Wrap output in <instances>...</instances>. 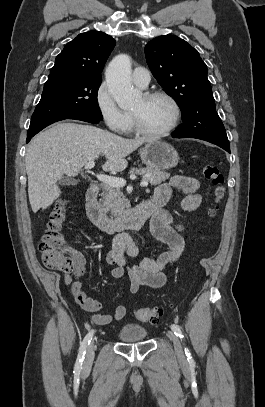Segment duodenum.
<instances>
[{
    "mask_svg": "<svg viewBox=\"0 0 265 407\" xmlns=\"http://www.w3.org/2000/svg\"><path fill=\"white\" fill-rule=\"evenodd\" d=\"M99 186L91 183L86 192V213L90 221L105 233L139 229L145 220L162 208L166 201L152 198L131 208L120 218H110L98 202Z\"/></svg>",
    "mask_w": 265,
    "mask_h": 407,
    "instance_id": "obj_1",
    "label": "duodenum"
}]
</instances>
